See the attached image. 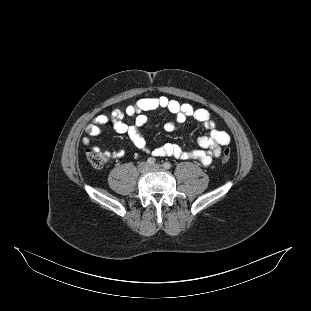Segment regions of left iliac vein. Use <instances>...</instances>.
<instances>
[{"label": "left iliac vein", "mask_w": 311, "mask_h": 311, "mask_svg": "<svg viewBox=\"0 0 311 311\" xmlns=\"http://www.w3.org/2000/svg\"><path fill=\"white\" fill-rule=\"evenodd\" d=\"M159 168H161L160 164H154V165L150 166V169H159Z\"/></svg>", "instance_id": "1"}]
</instances>
